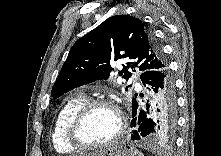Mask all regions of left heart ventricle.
I'll use <instances>...</instances> for the list:
<instances>
[{"mask_svg":"<svg viewBox=\"0 0 221 156\" xmlns=\"http://www.w3.org/2000/svg\"><path fill=\"white\" fill-rule=\"evenodd\" d=\"M118 125V117L112 109L98 107L85 118L79 136L89 144L104 143L116 133Z\"/></svg>","mask_w":221,"mask_h":156,"instance_id":"left-heart-ventricle-1","label":"left heart ventricle"}]
</instances>
